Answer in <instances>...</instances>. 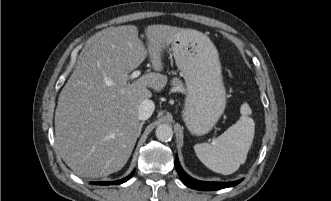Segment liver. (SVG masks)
<instances>
[{"label":"liver","mask_w":331,"mask_h":201,"mask_svg":"<svg viewBox=\"0 0 331 201\" xmlns=\"http://www.w3.org/2000/svg\"><path fill=\"white\" fill-rule=\"evenodd\" d=\"M185 29L150 25L147 48L134 25L110 27L81 55L55 111L57 149L76 175L98 178L121 170L140 135L139 106L161 91L162 55ZM149 55L155 72L129 83Z\"/></svg>","instance_id":"1"}]
</instances>
